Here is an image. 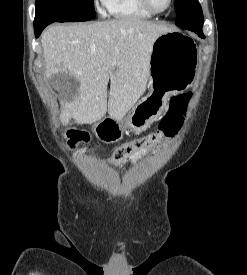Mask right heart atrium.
<instances>
[{
    "label": "right heart atrium",
    "mask_w": 247,
    "mask_h": 275,
    "mask_svg": "<svg viewBox=\"0 0 247 275\" xmlns=\"http://www.w3.org/2000/svg\"><path fill=\"white\" fill-rule=\"evenodd\" d=\"M107 1L108 0H94L93 4L99 14L104 15L107 11Z\"/></svg>",
    "instance_id": "d8ad5b80"
}]
</instances>
